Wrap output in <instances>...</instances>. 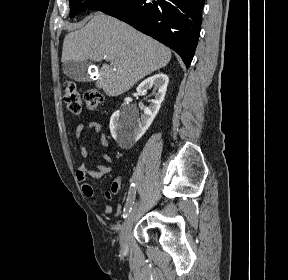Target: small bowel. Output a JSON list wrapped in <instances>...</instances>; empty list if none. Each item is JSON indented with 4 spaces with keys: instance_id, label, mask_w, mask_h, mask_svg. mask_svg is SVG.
I'll use <instances>...</instances> for the list:
<instances>
[{
    "instance_id": "obj_1",
    "label": "small bowel",
    "mask_w": 288,
    "mask_h": 280,
    "mask_svg": "<svg viewBox=\"0 0 288 280\" xmlns=\"http://www.w3.org/2000/svg\"><path fill=\"white\" fill-rule=\"evenodd\" d=\"M85 126L84 124H78L76 127V139L80 142L82 134L84 132ZM87 129L93 131L94 133L100 135V142L103 147H108L109 142L106 134L102 131V125L99 122L92 121L88 124ZM79 151L83 158H87L89 155L88 149L85 145L79 143ZM102 159L108 163L107 165L98 164L94 169H90L86 164H81L76 172V177L78 182L80 183L82 192L86 199L93 205H97V199L95 197V192L93 187L89 184L88 178L101 179L104 175L109 173L112 169L110 163L112 162V158L109 154L104 153L102 155ZM120 189L119 180L115 181L112 184L110 190L105 192V198L111 200L116 194H118ZM104 212L106 214H111L113 212V207L111 205H107L104 208Z\"/></svg>"
}]
</instances>
